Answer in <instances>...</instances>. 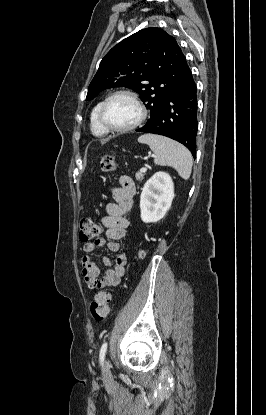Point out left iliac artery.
Returning a JSON list of instances; mask_svg holds the SVG:
<instances>
[{"label": "left iliac artery", "mask_w": 266, "mask_h": 415, "mask_svg": "<svg viewBox=\"0 0 266 415\" xmlns=\"http://www.w3.org/2000/svg\"><path fill=\"white\" fill-rule=\"evenodd\" d=\"M107 345H108L107 342H104L100 348L99 360L102 366H103L104 357L107 351Z\"/></svg>", "instance_id": "1"}]
</instances>
